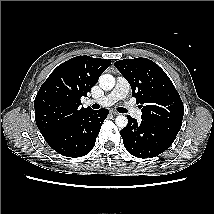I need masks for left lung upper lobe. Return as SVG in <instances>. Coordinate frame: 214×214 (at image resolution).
Listing matches in <instances>:
<instances>
[{"mask_svg": "<svg viewBox=\"0 0 214 214\" xmlns=\"http://www.w3.org/2000/svg\"><path fill=\"white\" fill-rule=\"evenodd\" d=\"M130 83L133 97L142 108V119L182 125L184 106L167 74L147 58L124 59L114 63Z\"/></svg>", "mask_w": 214, "mask_h": 214, "instance_id": "5c2ea615", "label": "left lung upper lobe"}]
</instances>
